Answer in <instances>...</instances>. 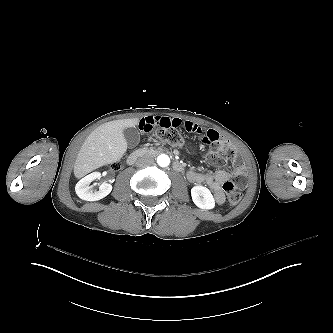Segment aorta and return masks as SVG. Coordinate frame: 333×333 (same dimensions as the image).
<instances>
[{
  "label": "aorta",
  "mask_w": 333,
  "mask_h": 333,
  "mask_svg": "<svg viewBox=\"0 0 333 333\" xmlns=\"http://www.w3.org/2000/svg\"><path fill=\"white\" fill-rule=\"evenodd\" d=\"M157 163L160 167H167L170 164V158L167 155L162 154L157 158Z\"/></svg>",
  "instance_id": "obj_1"
}]
</instances>
